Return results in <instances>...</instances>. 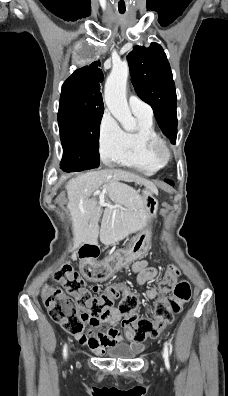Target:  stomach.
<instances>
[{
    "label": "stomach",
    "mask_w": 228,
    "mask_h": 396,
    "mask_svg": "<svg viewBox=\"0 0 228 396\" xmlns=\"http://www.w3.org/2000/svg\"><path fill=\"white\" fill-rule=\"evenodd\" d=\"M141 198L147 214V226L131 239L127 248L124 250L129 260H136L147 254L151 241V229L149 224L157 216L158 211V200L153 190L144 188L141 190Z\"/></svg>",
    "instance_id": "0dacf381"
}]
</instances>
